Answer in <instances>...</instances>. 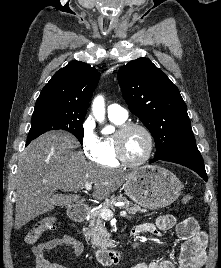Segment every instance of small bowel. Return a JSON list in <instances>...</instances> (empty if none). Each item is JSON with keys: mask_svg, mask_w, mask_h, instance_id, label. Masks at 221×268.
<instances>
[{"mask_svg": "<svg viewBox=\"0 0 221 268\" xmlns=\"http://www.w3.org/2000/svg\"><path fill=\"white\" fill-rule=\"evenodd\" d=\"M172 228L176 229L178 237L184 241L178 266L170 260H159L138 263L130 268H203L206 261L208 236L205 231L200 229L194 217L178 220L174 215H161L156 218L154 223H142L135 226L132 230V236L144 233L160 236ZM57 248H69L75 255L82 254L84 250L83 243L70 235L41 242L32 247L35 268H65L49 262L44 256L46 251Z\"/></svg>", "mask_w": 221, "mask_h": 268, "instance_id": "small-bowel-1", "label": "small bowel"}]
</instances>
